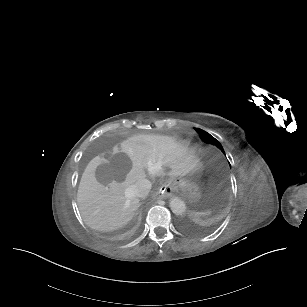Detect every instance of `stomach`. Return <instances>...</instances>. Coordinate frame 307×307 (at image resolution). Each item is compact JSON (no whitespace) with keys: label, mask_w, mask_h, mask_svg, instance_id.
Wrapping results in <instances>:
<instances>
[{"label":"stomach","mask_w":307,"mask_h":307,"mask_svg":"<svg viewBox=\"0 0 307 307\" xmlns=\"http://www.w3.org/2000/svg\"><path fill=\"white\" fill-rule=\"evenodd\" d=\"M198 170H194L186 175L171 177L170 179V186L175 189L179 190L184 194L192 193L196 190V181L198 178Z\"/></svg>","instance_id":"0dacf381"}]
</instances>
